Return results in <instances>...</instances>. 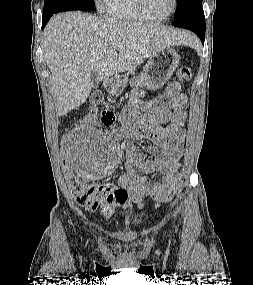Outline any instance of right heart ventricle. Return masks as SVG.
Instances as JSON below:
<instances>
[{"label":"right heart ventricle","instance_id":"e07e8e85","mask_svg":"<svg viewBox=\"0 0 253 285\" xmlns=\"http://www.w3.org/2000/svg\"><path fill=\"white\" fill-rule=\"evenodd\" d=\"M104 9L113 19L121 21H145L137 8L136 0H104Z\"/></svg>","mask_w":253,"mask_h":285}]
</instances>
